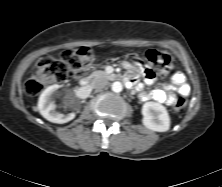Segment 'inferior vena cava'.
<instances>
[{"label":"inferior vena cava","instance_id":"1","mask_svg":"<svg viewBox=\"0 0 222 187\" xmlns=\"http://www.w3.org/2000/svg\"><path fill=\"white\" fill-rule=\"evenodd\" d=\"M107 85H108V81L105 80L104 78H98V79H95V80L92 82V86H93V88H95V89H103V88H105Z\"/></svg>","mask_w":222,"mask_h":187}]
</instances>
